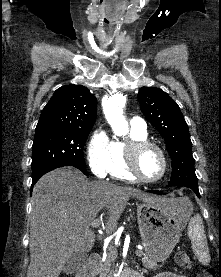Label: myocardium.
<instances>
[{
	"mask_svg": "<svg viewBox=\"0 0 221 277\" xmlns=\"http://www.w3.org/2000/svg\"><path fill=\"white\" fill-rule=\"evenodd\" d=\"M155 149L162 160V171L161 174L155 179H148L142 175L139 169V159L141 154L148 150ZM126 166L129 173L138 181L143 183H157L162 180L168 169L167 156L160 145L150 140H138L131 141L126 147Z\"/></svg>",
	"mask_w": 221,
	"mask_h": 277,
	"instance_id": "1",
	"label": "myocardium"
}]
</instances>
